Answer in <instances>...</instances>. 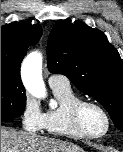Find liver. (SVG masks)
Returning a JSON list of instances; mask_svg holds the SVG:
<instances>
[{
	"label": "liver",
	"mask_w": 123,
	"mask_h": 152,
	"mask_svg": "<svg viewBox=\"0 0 123 152\" xmlns=\"http://www.w3.org/2000/svg\"><path fill=\"white\" fill-rule=\"evenodd\" d=\"M1 152H84L65 141L1 127Z\"/></svg>",
	"instance_id": "6515ba94"
}]
</instances>
